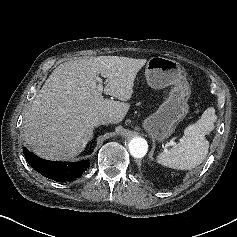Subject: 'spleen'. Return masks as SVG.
<instances>
[{
  "label": "spleen",
  "mask_w": 237,
  "mask_h": 237,
  "mask_svg": "<svg viewBox=\"0 0 237 237\" xmlns=\"http://www.w3.org/2000/svg\"><path fill=\"white\" fill-rule=\"evenodd\" d=\"M216 119L215 109H206L198 121L185 128L184 135L178 143L157 156V162L178 170H190L200 165L209 149V141L205 136L215 128Z\"/></svg>",
  "instance_id": "spleen-1"
}]
</instances>
